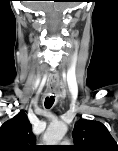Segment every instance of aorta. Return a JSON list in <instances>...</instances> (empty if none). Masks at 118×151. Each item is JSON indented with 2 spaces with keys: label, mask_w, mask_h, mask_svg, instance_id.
I'll return each mask as SVG.
<instances>
[{
  "label": "aorta",
  "mask_w": 118,
  "mask_h": 151,
  "mask_svg": "<svg viewBox=\"0 0 118 151\" xmlns=\"http://www.w3.org/2000/svg\"><path fill=\"white\" fill-rule=\"evenodd\" d=\"M67 125L63 122H55L48 126L43 135L46 145H57L67 133Z\"/></svg>",
  "instance_id": "762f6f07"
}]
</instances>
